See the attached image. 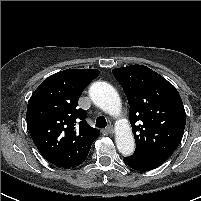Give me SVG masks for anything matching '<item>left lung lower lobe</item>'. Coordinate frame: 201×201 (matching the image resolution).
I'll return each mask as SVG.
<instances>
[{
    "mask_svg": "<svg viewBox=\"0 0 201 201\" xmlns=\"http://www.w3.org/2000/svg\"><path fill=\"white\" fill-rule=\"evenodd\" d=\"M167 158L140 159L134 156L124 158L125 164L138 171H149L162 165Z\"/></svg>",
    "mask_w": 201,
    "mask_h": 201,
    "instance_id": "0a47b994",
    "label": "left lung lower lobe"
}]
</instances>
